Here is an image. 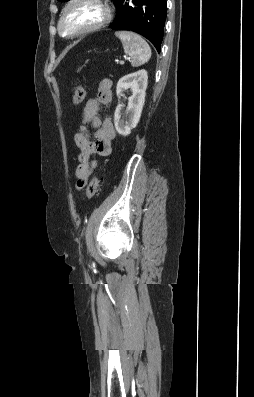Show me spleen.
Here are the masks:
<instances>
[{
    "label": "spleen",
    "instance_id": "obj_1",
    "mask_svg": "<svg viewBox=\"0 0 254 397\" xmlns=\"http://www.w3.org/2000/svg\"><path fill=\"white\" fill-rule=\"evenodd\" d=\"M115 35L121 40L132 66L138 67L150 59L151 48L140 35L131 31H117Z\"/></svg>",
    "mask_w": 254,
    "mask_h": 397
}]
</instances>
